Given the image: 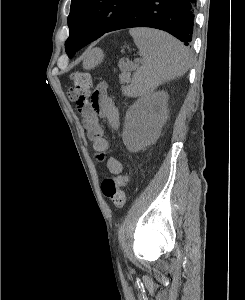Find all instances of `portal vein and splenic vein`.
I'll return each instance as SVG.
<instances>
[{"label":"portal vein and splenic vein","instance_id":"portal-vein-and-splenic-vein-1","mask_svg":"<svg viewBox=\"0 0 245 300\" xmlns=\"http://www.w3.org/2000/svg\"><path fill=\"white\" fill-rule=\"evenodd\" d=\"M131 67L134 68L135 66H133L132 63H131Z\"/></svg>","mask_w":245,"mask_h":300}]
</instances>
